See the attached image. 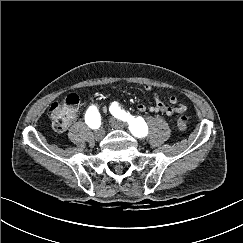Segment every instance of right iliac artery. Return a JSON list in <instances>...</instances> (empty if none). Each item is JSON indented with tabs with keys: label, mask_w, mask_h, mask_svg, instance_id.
<instances>
[{
	"label": "right iliac artery",
	"mask_w": 243,
	"mask_h": 243,
	"mask_svg": "<svg viewBox=\"0 0 243 243\" xmlns=\"http://www.w3.org/2000/svg\"><path fill=\"white\" fill-rule=\"evenodd\" d=\"M100 113L96 106L92 105L89 107L85 114V122L92 129H97L100 126L101 119Z\"/></svg>",
	"instance_id": "right-iliac-artery-1"
}]
</instances>
